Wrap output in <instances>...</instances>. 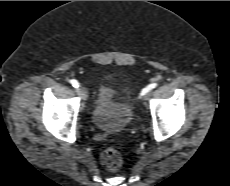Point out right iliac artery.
Wrapping results in <instances>:
<instances>
[{
	"label": "right iliac artery",
	"instance_id": "obj_1",
	"mask_svg": "<svg viewBox=\"0 0 230 186\" xmlns=\"http://www.w3.org/2000/svg\"><path fill=\"white\" fill-rule=\"evenodd\" d=\"M70 83L72 84L73 87L79 88V83H78V81L72 79V80H70Z\"/></svg>",
	"mask_w": 230,
	"mask_h": 186
}]
</instances>
